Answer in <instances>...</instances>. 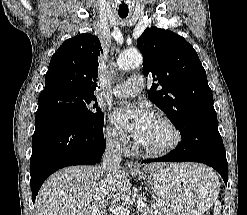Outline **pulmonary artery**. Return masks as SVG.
<instances>
[{"label":"pulmonary artery","instance_id":"1","mask_svg":"<svg viewBox=\"0 0 247 215\" xmlns=\"http://www.w3.org/2000/svg\"><path fill=\"white\" fill-rule=\"evenodd\" d=\"M143 88V78L141 76H131L123 83L116 85L112 93L117 97L127 98L139 94Z\"/></svg>","mask_w":247,"mask_h":215}]
</instances>
